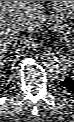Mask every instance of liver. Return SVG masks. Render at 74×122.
Returning a JSON list of instances; mask_svg holds the SVG:
<instances>
[{
	"label": "liver",
	"mask_w": 74,
	"mask_h": 122,
	"mask_svg": "<svg viewBox=\"0 0 74 122\" xmlns=\"http://www.w3.org/2000/svg\"><path fill=\"white\" fill-rule=\"evenodd\" d=\"M46 1H0V54L5 55L16 44L23 23V31L33 33L44 22L43 3Z\"/></svg>",
	"instance_id": "obj_1"
}]
</instances>
